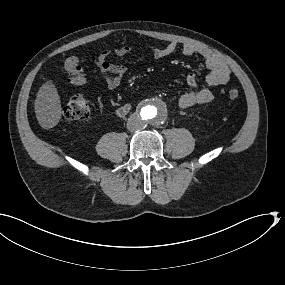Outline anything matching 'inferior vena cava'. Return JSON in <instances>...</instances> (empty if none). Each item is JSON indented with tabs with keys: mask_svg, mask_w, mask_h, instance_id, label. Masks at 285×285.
<instances>
[{
	"mask_svg": "<svg viewBox=\"0 0 285 285\" xmlns=\"http://www.w3.org/2000/svg\"><path fill=\"white\" fill-rule=\"evenodd\" d=\"M142 127L143 122L138 116L132 115L127 121V129L131 132L138 131L142 129Z\"/></svg>",
	"mask_w": 285,
	"mask_h": 285,
	"instance_id": "1",
	"label": "inferior vena cava"
}]
</instances>
